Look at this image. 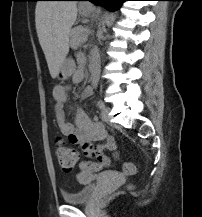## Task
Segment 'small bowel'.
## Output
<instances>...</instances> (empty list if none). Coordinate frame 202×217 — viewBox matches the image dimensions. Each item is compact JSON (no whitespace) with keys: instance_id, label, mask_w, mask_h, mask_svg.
I'll list each match as a JSON object with an SVG mask.
<instances>
[{"instance_id":"c3829d8e","label":"small bowel","mask_w":202,"mask_h":217,"mask_svg":"<svg viewBox=\"0 0 202 217\" xmlns=\"http://www.w3.org/2000/svg\"><path fill=\"white\" fill-rule=\"evenodd\" d=\"M96 63V62H95ZM84 77L82 67H79L72 75L74 83H79ZM95 84L86 87L82 92V97L87 98L92 95ZM69 88L66 86H56L53 90L55 100V119L60 131L69 137L71 143L81 147L84 154L97 158L105 166L112 165L111 160L103 155L105 150H110L117 157V146L113 136L108 135L97 118L90 119L85 112L75 109V122L71 123L66 118L64 104L68 97Z\"/></svg>"}]
</instances>
